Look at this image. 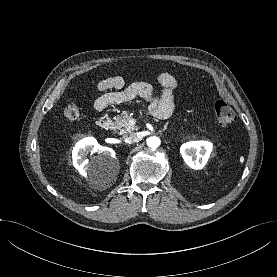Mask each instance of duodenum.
<instances>
[{"label": "duodenum", "instance_id": "1", "mask_svg": "<svg viewBox=\"0 0 277 277\" xmlns=\"http://www.w3.org/2000/svg\"><path fill=\"white\" fill-rule=\"evenodd\" d=\"M96 123L99 128L104 130H108L111 127V122L106 118H99Z\"/></svg>", "mask_w": 277, "mask_h": 277}]
</instances>
